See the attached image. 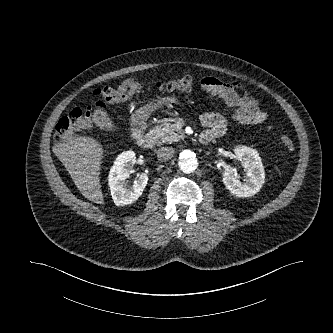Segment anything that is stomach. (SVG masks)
Returning a JSON list of instances; mask_svg holds the SVG:
<instances>
[{"label": "stomach", "mask_w": 333, "mask_h": 333, "mask_svg": "<svg viewBox=\"0 0 333 333\" xmlns=\"http://www.w3.org/2000/svg\"><path fill=\"white\" fill-rule=\"evenodd\" d=\"M177 103L176 99L170 97L162 98L161 100L152 103L150 105L144 106L138 109L132 116V121L135 123H143L148 119L149 115L154 112L156 109L162 107L163 104Z\"/></svg>", "instance_id": "1"}]
</instances>
